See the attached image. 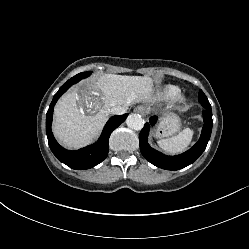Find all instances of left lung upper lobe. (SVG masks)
Returning <instances> with one entry per match:
<instances>
[{
	"instance_id": "left-lung-upper-lobe-1",
	"label": "left lung upper lobe",
	"mask_w": 249,
	"mask_h": 249,
	"mask_svg": "<svg viewBox=\"0 0 249 249\" xmlns=\"http://www.w3.org/2000/svg\"><path fill=\"white\" fill-rule=\"evenodd\" d=\"M201 94H203V91H202V90L199 91V95H201Z\"/></svg>"
}]
</instances>
